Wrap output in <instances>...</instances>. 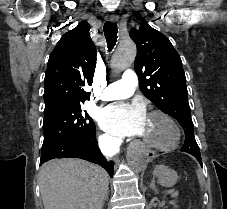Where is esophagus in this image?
I'll return each instance as SVG.
<instances>
[{
    "label": "esophagus",
    "instance_id": "1",
    "mask_svg": "<svg viewBox=\"0 0 227 209\" xmlns=\"http://www.w3.org/2000/svg\"><path fill=\"white\" fill-rule=\"evenodd\" d=\"M109 19L111 22H115L118 19V14H109ZM156 156V153L151 149L150 151H144L143 160L145 163L151 161Z\"/></svg>",
    "mask_w": 227,
    "mask_h": 209
}]
</instances>
